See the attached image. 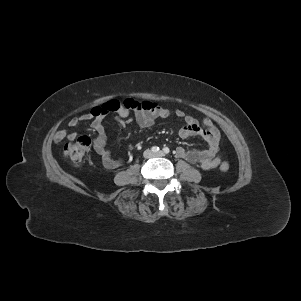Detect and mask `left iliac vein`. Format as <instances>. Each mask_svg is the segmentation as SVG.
<instances>
[{"instance_id":"1","label":"left iliac vein","mask_w":301,"mask_h":301,"mask_svg":"<svg viewBox=\"0 0 301 301\" xmlns=\"http://www.w3.org/2000/svg\"><path fill=\"white\" fill-rule=\"evenodd\" d=\"M162 155H163V152H162V151H159V152L156 153V156H159V157H160V156H162Z\"/></svg>"}]
</instances>
